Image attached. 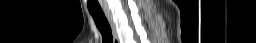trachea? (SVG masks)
<instances>
[{
  "mask_svg": "<svg viewBox=\"0 0 256 43\" xmlns=\"http://www.w3.org/2000/svg\"><path fill=\"white\" fill-rule=\"evenodd\" d=\"M88 10H89V13L92 15L95 21V24L102 35V42L113 43L112 30L103 11L101 9L100 10L88 9Z\"/></svg>",
  "mask_w": 256,
  "mask_h": 43,
  "instance_id": "obj_1",
  "label": "trachea"
}]
</instances>
